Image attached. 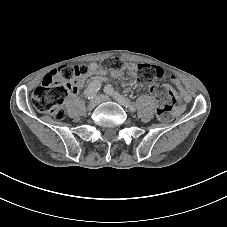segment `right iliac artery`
<instances>
[{
  "label": "right iliac artery",
  "mask_w": 227,
  "mask_h": 227,
  "mask_svg": "<svg viewBox=\"0 0 227 227\" xmlns=\"http://www.w3.org/2000/svg\"><path fill=\"white\" fill-rule=\"evenodd\" d=\"M101 84L99 81H94L85 90L86 97L90 100L96 96V93L99 91Z\"/></svg>",
  "instance_id": "right-iliac-artery-1"
}]
</instances>
